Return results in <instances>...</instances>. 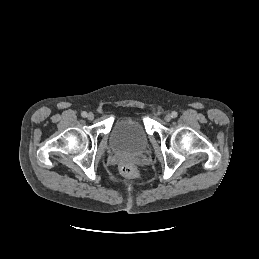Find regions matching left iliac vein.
<instances>
[{
  "mask_svg": "<svg viewBox=\"0 0 259 259\" xmlns=\"http://www.w3.org/2000/svg\"><path fill=\"white\" fill-rule=\"evenodd\" d=\"M164 119H165V121L169 122L172 119V115L171 114H167Z\"/></svg>",
  "mask_w": 259,
  "mask_h": 259,
  "instance_id": "4c4485c4",
  "label": "left iliac vein"
}]
</instances>
